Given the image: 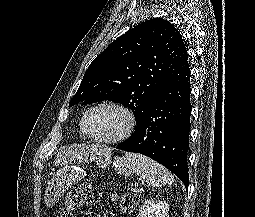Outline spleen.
Returning <instances> with one entry per match:
<instances>
[{"label":"spleen","mask_w":255,"mask_h":217,"mask_svg":"<svg viewBox=\"0 0 255 217\" xmlns=\"http://www.w3.org/2000/svg\"><path fill=\"white\" fill-rule=\"evenodd\" d=\"M125 157L131 163L134 172L144 179L148 186L162 187L173 183L174 177L171 172L154 160L134 153H126Z\"/></svg>","instance_id":"obj_1"}]
</instances>
